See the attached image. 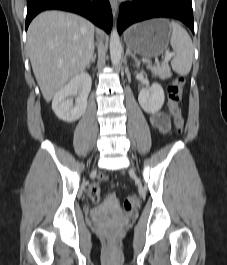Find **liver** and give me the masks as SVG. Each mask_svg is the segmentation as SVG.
I'll use <instances>...</instances> for the list:
<instances>
[{"label":"liver","instance_id":"obj_1","mask_svg":"<svg viewBox=\"0 0 227 265\" xmlns=\"http://www.w3.org/2000/svg\"><path fill=\"white\" fill-rule=\"evenodd\" d=\"M27 46L35 78L49 102L90 62L94 52V25L72 13L46 11L30 23Z\"/></svg>","mask_w":227,"mask_h":265}]
</instances>
